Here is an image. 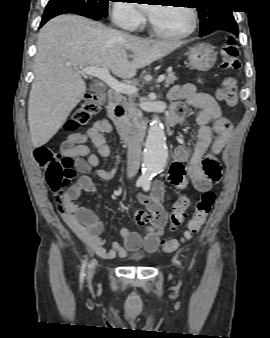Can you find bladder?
Wrapping results in <instances>:
<instances>
[{
	"label": "bladder",
	"instance_id": "31cf9c89",
	"mask_svg": "<svg viewBox=\"0 0 270 338\" xmlns=\"http://www.w3.org/2000/svg\"><path fill=\"white\" fill-rule=\"evenodd\" d=\"M132 259L140 261V260L143 259V257L141 255H135V256L132 257Z\"/></svg>",
	"mask_w": 270,
	"mask_h": 338
}]
</instances>
